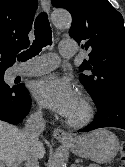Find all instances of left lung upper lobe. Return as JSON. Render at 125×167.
I'll return each instance as SVG.
<instances>
[{
    "instance_id": "1",
    "label": "left lung upper lobe",
    "mask_w": 125,
    "mask_h": 167,
    "mask_svg": "<svg viewBox=\"0 0 125 167\" xmlns=\"http://www.w3.org/2000/svg\"><path fill=\"white\" fill-rule=\"evenodd\" d=\"M72 14L69 35L90 51L79 66L81 82L98 106L109 95L125 94V27L108 0H52Z\"/></svg>"
}]
</instances>
